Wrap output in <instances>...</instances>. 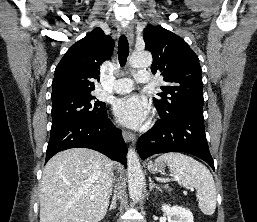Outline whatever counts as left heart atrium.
Masks as SVG:
<instances>
[{"instance_id": "obj_1", "label": "left heart atrium", "mask_w": 257, "mask_h": 222, "mask_svg": "<svg viewBox=\"0 0 257 222\" xmlns=\"http://www.w3.org/2000/svg\"><path fill=\"white\" fill-rule=\"evenodd\" d=\"M114 113L123 125L130 128L141 127L148 116L146 100L138 95L131 94L117 100Z\"/></svg>"}]
</instances>
